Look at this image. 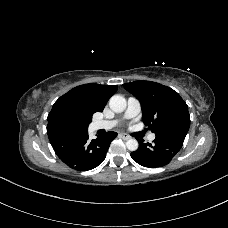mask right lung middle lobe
<instances>
[{"label": "right lung middle lobe", "mask_w": 228, "mask_h": 228, "mask_svg": "<svg viewBox=\"0 0 228 228\" xmlns=\"http://www.w3.org/2000/svg\"><path fill=\"white\" fill-rule=\"evenodd\" d=\"M63 121L68 126L75 127L77 129H80L81 131H87L88 130V124L91 122V120H90L87 122H82L83 124H81V120L78 118L77 115H75L72 112H66L63 116Z\"/></svg>", "instance_id": "obj_1"}]
</instances>
